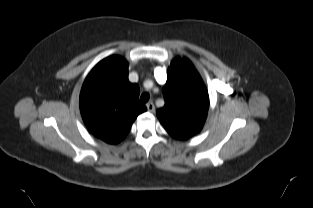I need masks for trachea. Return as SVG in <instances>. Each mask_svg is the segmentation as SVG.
I'll return each instance as SVG.
<instances>
[{
    "instance_id": "trachea-1",
    "label": "trachea",
    "mask_w": 313,
    "mask_h": 208,
    "mask_svg": "<svg viewBox=\"0 0 313 208\" xmlns=\"http://www.w3.org/2000/svg\"><path fill=\"white\" fill-rule=\"evenodd\" d=\"M150 95L148 93H143L140 97L142 103H146L149 101Z\"/></svg>"
}]
</instances>
